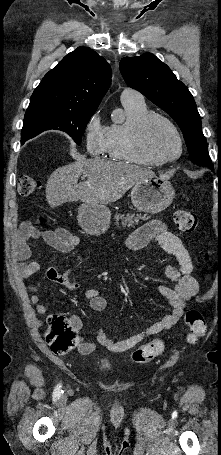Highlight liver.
I'll use <instances>...</instances> for the list:
<instances>
[{
	"label": "liver",
	"mask_w": 221,
	"mask_h": 455,
	"mask_svg": "<svg viewBox=\"0 0 221 455\" xmlns=\"http://www.w3.org/2000/svg\"><path fill=\"white\" fill-rule=\"evenodd\" d=\"M87 180L78 184L81 175ZM155 176L147 168L124 162L89 159L59 167L48 178L46 199L51 208L81 200L108 204L119 200L137 182Z\"/></svg>",
	"instance_id": "obj_1"
}]
</instances>
